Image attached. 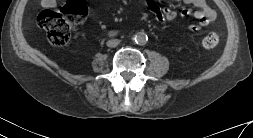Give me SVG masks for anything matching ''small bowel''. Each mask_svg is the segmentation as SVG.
<instances>
[{
	"instance_id": "obj_1",
	"label": "small bowel",
	"mask_w": 253,
	"mask_h": 138,
	"mask_svg": "<svg viewBox=\"0 0 253 138\" xmlns=\"http://www.w3.org/2000/svg\"><path fill=\"white\" fill-rule=\"evenodd\" d=\"M187 3L192 4L198 10L194 13V18L197 20L196 24L189 27L191 31H199L205 26L210 24L216 17L215 12L210 8L205 0H184ZM150 10L155 15L156 20L160 24H165L167 21L175 20L176 18L184 19L191 14V9L186 7L180 13L170 7L161 8L156 0L146 1ZM56 4V0H42L44 7H53Z\"/></svg>"
}]
</instances>
